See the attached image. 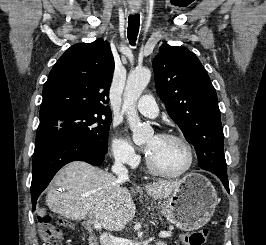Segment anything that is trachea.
Here are the masks:
<instances>
[{
    "label": "trachea",
    "mask_w": 266,
    "mask_h": 245,
    "mask_svg": "<svg viewBox=\"0 0 266 245\" xmlns=\"http://www.w3.org/2000/svg\"><path fill=\"white\" fill-rule=\"evenodd\" d=\"M139 22L140 17L138 14L129 16L127 36L131 45H135L139 31Z\"/></svg>",
    "instance_id": "trachea-1"
}]
</instances>
